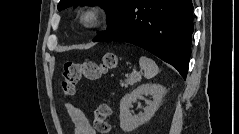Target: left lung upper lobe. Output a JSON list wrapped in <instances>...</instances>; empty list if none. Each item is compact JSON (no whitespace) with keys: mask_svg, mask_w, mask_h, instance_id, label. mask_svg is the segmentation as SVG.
Instances as JSON below:
<instances>
[{"mask_svg":"<svg viewBox=\"0 0 239 134\" xmlns=\"http://www.w3.org/2000/svg\"><path fill=\"white\" fill-rule=\"evenodd\" d=\"M129 1L130 0H60L58 10L61 11L69 6H75L77 4L99 5L106 11L108 24L109 27H111L118 21Z\"/></svg>","mask_w":239,"mask_h":134,"instance_id":"left-lung-upper-lobe-1","label":"left lung upper lobe"}]
</instances>
